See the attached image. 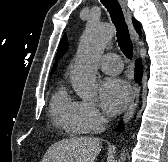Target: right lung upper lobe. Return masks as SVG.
Returning <instances> with one entry per match:
<instances>
[{
    "mask_svg": "<svg viewBox=\"0 0 168 162\" xmlns=\"http://www.w3.org/2000/svg\"><path fill=\"white\" fill-rule=\"evenodd\" d=\"M133 24H134V27H135L136 31L139 34H141L140 26H139L138 22L134 18H133ZM67 47H68L67 40H66V38L64 36L62 38V40L60 41V44H59V47H58V51H57V55H56V61H58L63 56V54L66 51ZM56 66H57V62L54 64L52 72L55 70Z\"/></svg>",
    "mask_w": 168,
    "mask_h": 162,
    "instance_id": "obj_1",
    "label": "right lung upper lobe"
}]
</instances>
